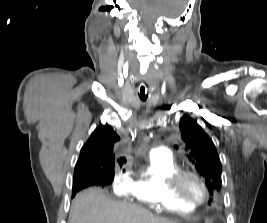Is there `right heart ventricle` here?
<instances>
[{"label":"right heart ventricle","instance_id":"right-heart-ventricle-1","mask_svg":"<svg viewBox=\"0 0 267 223\" xmlns=\"http://www.w3.org/2000/svg\"><path fill=\"white\" fill-rule=\"evenodd\" d=\"M181 170L172 156L150 155L148 164L129 178L125 195L138 205H147L154 210H168L189 214L195 206L174 198L168 190L169 178Z\"/></svg>","mask_w":267,"mask_h":223}]
</instances>
